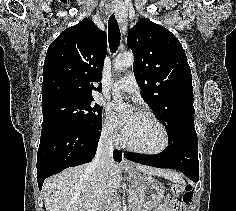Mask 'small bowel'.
Segmentation results:
<instances>
[{
	"label": "small bowel",
	"instance_id": "c3829d8e",
	"mask_svg": "<svg viewBox=\"0 0 236 211\" xmlns=\"http://www.w3.org/2000/svg\"><path fill=\"white\" fill-rule=\"evenodd\" d=\"M156 211H169L166 205L159 207ZM173 211V210H172ZM179 211H188L186 207H182Z\"/></svg>",
	"mask_w": 236,
	"mask_h": 211
}]
</instances>
